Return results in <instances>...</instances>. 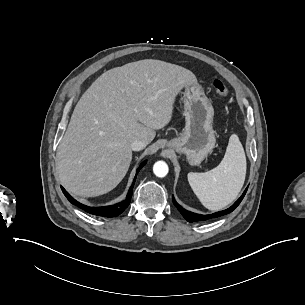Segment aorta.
Segmentation results:
<instances>
[{
	"mask_svg": "<svg viewBox=\"0 0 305 305\" xmlns=\"http://www.w3.org/2000/svg\"><path fill=\"white\" fill-rule=\"evenodd\" d=\"M168 165L164 161H157L153 165V172L157 177H165L168 173Z\"/></svg>",
	"mask_w": 305,
	"mask_h": 305,
	"instance_id": "1",
	"label": "aorta"
}]
</instances>
